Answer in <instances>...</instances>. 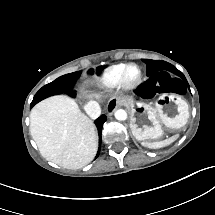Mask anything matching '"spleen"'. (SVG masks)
I'll return each mask as SVG.
<instances>
[{
  "instance_id": "1",
  "label": "spleen",
  "mask_w": 215,
  "mask_h": 215,
  "mask_svg": "<svg viewBox=\"0 0 215 215\" xmlns=\"http://www.w3.org/2000/svg\"><path fill=\"white\" fill-rule=\"evenodd\" d=\"M178 137H179V134H176L166 140L159 141V142H152V143L142 142V145L153 149L162 148L173 143L175 140H177Z\"/></svg>"
}]
</instances>
